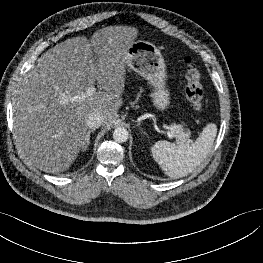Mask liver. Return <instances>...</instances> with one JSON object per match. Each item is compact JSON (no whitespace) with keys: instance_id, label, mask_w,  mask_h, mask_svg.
Returning <instances> with one entry per match:
<instances>
[{"instance_id":"liver-1","label":"liver","mask_w":263,"mask_h":263,"mask_svg":"<svg viewBox=\"0 0 263 263\" xmlns=\"http://www.w3.org/2000/svg\"><path fill=\"white\" fill-rule=\"evenodd\" d=\"M137 36L134 27L109 26L90 42L84 36L67 39L37 60L13 102L16 145L30 163L47 173L63 172L85 145L90 112H100L107 127L113 123L122 106L127 50ZM95 83L103 91L69 100Z\"/></svg>"}]
</instances>
